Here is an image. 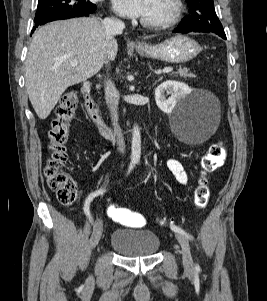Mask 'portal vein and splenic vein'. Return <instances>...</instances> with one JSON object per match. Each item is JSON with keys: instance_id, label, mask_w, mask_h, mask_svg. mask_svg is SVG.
<instances>
[{"instance_id": "portal-vein-and-splenic-vein-1", "label": "portal vein and splenic vein", "mask_w": 267, "mask_h": 301, "mask_svg": "<svg viewBox=\"0 0 267 301\" xmlns=\"http://www.w3.org/2000/svg\"><path fill=\"white\" fill-rule=\"evenodd\" d=\"M77 64H78V61H77V60H74L73 62H71V65H72V66H76ZM172 70H173L172 67H165V68L162 69L161 72H162L163 74H166V73L172 72Z\"/></svg>"}]
</instances>
